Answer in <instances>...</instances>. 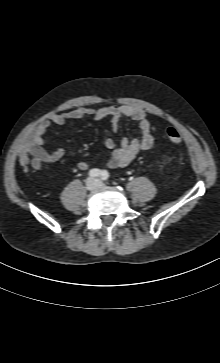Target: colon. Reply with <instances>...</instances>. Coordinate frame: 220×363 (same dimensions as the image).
<instances>
[{
    "label": "colon",
    "mask_w": 220,
    "mask_h": 363,
    "mask_svg": "<svg viewBox=\"0 0 220 363\" xmlns=\"http://www.w3.org/2000/svg\"><path fill=\"white\" fill-rule=\"evenodd\" d=\"M166 137L171 144H179L182 142V135L174 128L167 129Z\"/></svg>",
    "instance_id": "1"
}]
</instances>
